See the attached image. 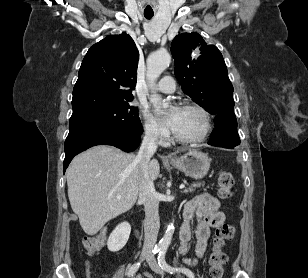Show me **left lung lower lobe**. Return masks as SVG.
Masks as SVG:
<instances>
[{
	"mask_svg": "<svg viewBox=\"0 0 308 278\" xmlns=\"http://www.w3.org/2000/svg\"><path fill=\"white\" fill-rule=\"evenodd\" d=\"M214 123L215 128L210 136L209 145L232 149L240 144L237 120L232 110L216 114Z\"/></svg>",
	"mask_w": 308,
	"mask_h": 278,
	"instance_id": "obj_1",
	"label": "left lung lower lobe"
}]
</instances>
